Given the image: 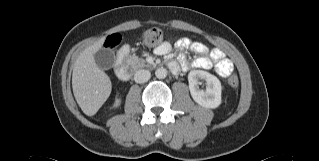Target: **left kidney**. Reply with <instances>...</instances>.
Wrapping results in <instances>:
<instances>
[{
  "label": "left kidney",
  "instance_id": "1",
  "mask_svg": "<svg viewBox=\"0 0 319 161\" xmlns=\"http://www.w3.org/2000/svg\"><path fill=\"white\" fill-rule=\"evenodd\" d=\"M205 80L206 90L199 88V80ZM189 90L193 100L206 108H217L221 104L222 86L219 79L203 70H193L188 74Z\"/></svg>",
  "mask_w": 319,
  "mask_h": 161
}]
</instances>
